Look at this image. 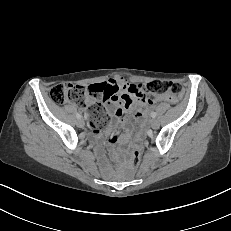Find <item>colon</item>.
I'll use <instances>...</instances> for the list:
<instances>
[{"label": "colon", "instance_id": "obj_1", "mask_svg": "<svg viewBox=\"0 0 231 231\" xmlns=\"http://www.w3.org/2000/svg\"><path fill=\"white\" fill-rule=\"evenodd\" d=\"M91 86V85H90ZM90 86L84 87L75 84H58L50 90V98L56 104L72 102L85 109L90 118V124L95 127H102L108 119L103 105L94 100L88 101L91 97ZM144 99L148 104H153L159 96L170 95L176 98L182 94V87L178 83L166 80H154L142 87ZM142 149L135 144L131 150L130 167L137 169L141 162Z\"/></svg>", "mask_w": 231, "mask_h": 231}]
</instances>
